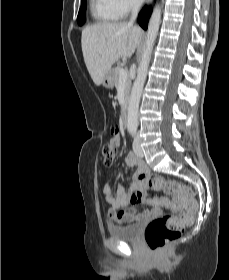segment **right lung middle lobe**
Listing matches in <instances>:
<instances>
[{"mask_svg":"<svg viewBox=\"0 0 229 280\" xmlns=\"http://www.w3.org/2000/svg\"><path fill=\"white\" fill-rule=\"evenodd\" d=\"M86 4L87 0H82L81 8L78 13L77 22L79 25H83L86 21Z\"/></svg>","mask_w":229,"mask_h":280,"instance_id":"1","label":"right lung middle lobe"}]
</instances>
